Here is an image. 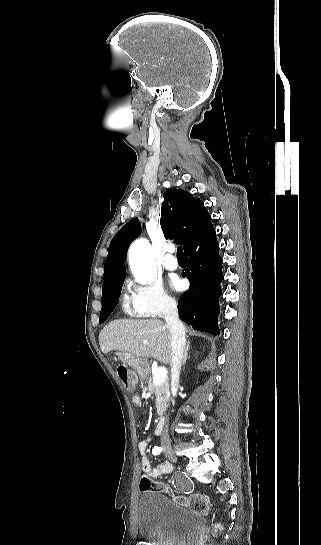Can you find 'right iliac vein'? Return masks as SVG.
Here are the masks:
<instances>
[{
  "instance_id": "63e3f726",
  "label": "right iliac vein",
  "mask_w": 321,
  "mask_h": 545,
  "mask_svg": "<svg viewBox=\"0 0 321 545\" xmlns=\"http://www.w3.org/2000/svg\"><path fill=\"white\" fill-rule=\"evenodd\" d=\"M163 452H164V454L166 455V457H167L170 461H172V462H176V461H177V457H176V455H175V453H174V451H173L172 448H170V447H164Z\"/></svg>"
}]
</instances>
